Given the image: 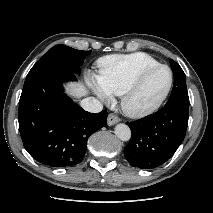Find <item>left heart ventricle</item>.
<instances>
[{
  "mask_svg": "<svg viewBox=\"0 0 213 213\" xmlns=\"http://www.w3.org/2000/svg\"><path fill=\"white\" fill-rule=\"evenodd\" d=\"M169 83V72L159 69L152 73L142 84L131 100L134 107H142L155 101L166 89Z\"/></svg>",
  "mask_w": 213,
  "mask_h": 213,
  "instance_id": "1",
  "label": "left heart ventricle"
}]
</instances>
